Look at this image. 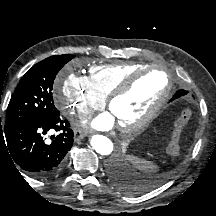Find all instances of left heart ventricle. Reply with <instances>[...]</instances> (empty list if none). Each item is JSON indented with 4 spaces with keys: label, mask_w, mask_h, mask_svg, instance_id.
<instances>
[{
    "label": "left heart ventricle",
    "mask_w": 216,
    "mask_h": 216,
    "mask_svg": "<svg viewBox=\"0 0 216 216\" xmlns=\"http://www.w3.org/2000/svg\"><path fill=\"white\" fill-rule=\"evenodd\" d=\"M166 76L153 71L140 78L125 96L115 100L111 107L114 121L129 124L144 116L166 89Z\"/></svg>",
    "instance_id": "b2bd125f"
}]
</instances>
